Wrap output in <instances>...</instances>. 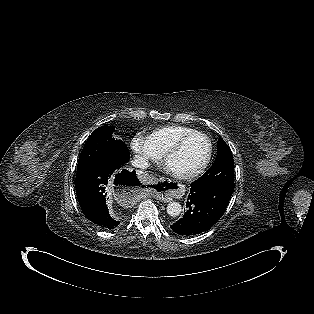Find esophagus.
Here are the masks:
<instances>
[{"mask_svg":"<svg viewBox=\"0 0 314 314\" xmlns=\"http://www.w3.org/2000/svg\"><path fill=\"white\" fill-rule=\"evenodd\" d=\"M178 188L175 189V190H171V191H168L165 196L162 198L160 197V199H162V201L164 202H169L172 200V198H177V199H180L182 198L183 196V186L181 184H177Z\"/></svg>","mask_w":314,"mask_h":314,"instance_id":"obj_1","label":"esophagus"}]
</instances>
